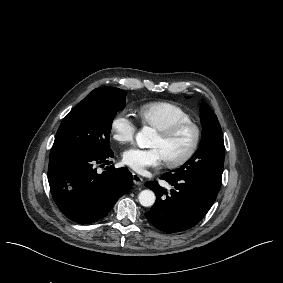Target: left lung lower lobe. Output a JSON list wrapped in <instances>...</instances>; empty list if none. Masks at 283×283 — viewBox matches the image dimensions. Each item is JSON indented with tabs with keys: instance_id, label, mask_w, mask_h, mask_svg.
I'll use <instances>...</instances> for the list:
<instances>
[{
	"instance_id": "obj_1",
	"label": "left lung lower lobe",
	"mask_w": 283,
	"mask_h": 283,
	"mask_svg": "<svg viewBox=\"0 0 283 283\" xmlns=\"http://www.w3.org/2000/svg\"><path fill=\"white\" fill-rule=\"evenodd\" d=\"M161 179L173 189L167 192L156 181L146 182L156 194V203L145 216L156 229L167 233L185 231L196 225L209 211L219 191L200 177H174L165 173Z\"/></svg>"
}]
</instances>
